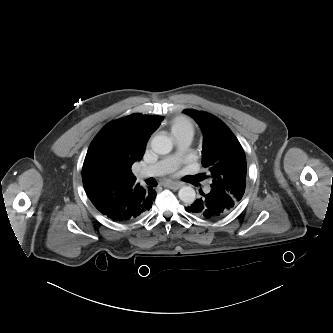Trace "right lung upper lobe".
I'll return each instance as SVG.
<instances>
[{"label": "right lung upper lobe", "mask_w": 333, "mask_h": 333, "mask_svg": "<svg viewBox=\"0 0 333 333\" xmlns=\"http://www.w3.org/2000/svg\"><path fill=\"white\" fill-rule=\"evenodd\" d=\"M163 117L132 114L108 123L91 142L82 168L86 192L134 184L127 168L141 160L146 143Z\"/></svg>", "instance_id": "1"}]
</instances>
